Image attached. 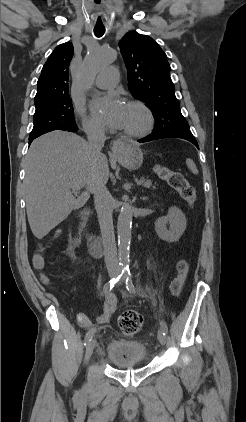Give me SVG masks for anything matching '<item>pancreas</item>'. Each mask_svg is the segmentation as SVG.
Instances as JSON below:
<instances>
[{"mask_svg": "<svg viewBox=\"0 0 246 422\" xmlns=\"http://www.w3.org/2000/svg\"><path fill=\"white\" fill-rule=\"evenodd\" d=\"M147 183H149V184H147ZM143 186H144V187H150V186H151V182L148 180L147 182H145V183L143 184Z\"/></svg>", "mask_w": 246, "mask_h": 422, "instance_id": "obj_1", "label": "pancreas"}]
</instances>
